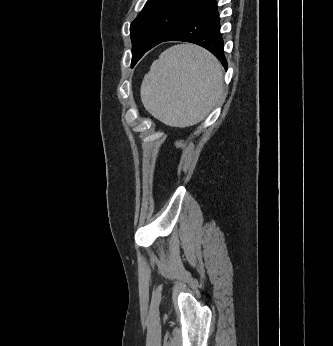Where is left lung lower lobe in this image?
Returning <instances> with one entry per match:
<instances>
[{
	"instance_id": "left-lung-lower-lobe-1",
	"label": "left lung lower lobe",
	"mask_w": 333,
	"mask_h": 346,
	"mask_svg": "<svg viewBox=\"0 0 333 346\" xmlns=\"http://www.w3.org/2000/svg\"><path fill=\"white\" fill-rule=\"evenodd\" d=\"M164 41H186L200 45L213 53L227 70L216 0H210L203 5L167 37L151 48Z\"/></svg>"
}]
</instances>
